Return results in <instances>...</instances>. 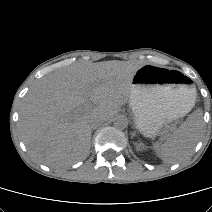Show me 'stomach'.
Returning a JSON list of instances; mask_svg holds the SVG:
<instances>
[{"label":"stomach","instance_id":"obj_1","mask_svg":"<svg viewBox=\"0 0 212 212\" xmlns=\"http://www.w3.org/2000/svg\"><path fill=\"white\" fill-rule=\"evenodd\" d=\"M195 99L196 89L182 73L145 64L133 76L129 104L139 132L153 137L164 124L188 113Z\"/></svg>","mask_w":212,"mask_h":212}]
</instances>
